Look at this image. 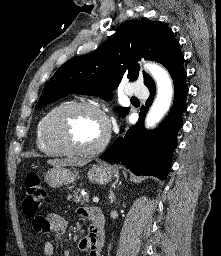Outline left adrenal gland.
Segmentation results:
<instances>
[{
    "instance_id": "1",
    "label": "left adrenal gland",
    "mask_w": 221,
    "mask_h": 256,
    "mask_svg": "<svg viewBox=\"0 0 221 256\" xmlns=\"http://www.w3.org/2000/svg\"><path fill=\"white\" fill-rule=\"evenodd\" d=\"M109 199H110V203H113L116 199L112 190H110L109 192Z\"/></svg>"
}]
</instances>
